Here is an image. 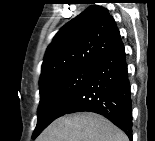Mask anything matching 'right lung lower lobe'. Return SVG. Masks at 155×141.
Wrapping results in <instances>:
<instances>
[{
	"label": "right lung lower lobe",
	"instance_id": "98d812e1",
	"mask_svg": "<svg viewBox=\"0 0 155 141\" xmlns=\"http://www.w3.org/2000/svg\"><path fill=\"white\" fill-rule=\"evenodd\" d=\"M125 56L120 39L96 65L59 117L81 111L99 113L132 140V102Z\"/></svg>",
	"mask_w": 155,
	"mask_h": 141
}]
</instances>
